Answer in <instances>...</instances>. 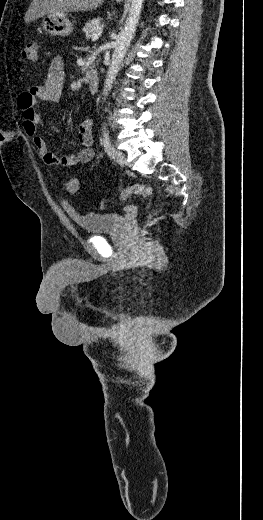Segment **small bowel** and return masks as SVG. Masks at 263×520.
Returning a JSON list of instances; mask_svg holds the SVG:
<instances>
[{
    "label": "small bowel",
    "instance_id": "c3829d8e",
    "mask_svg": "<svg viewBox=\"0 0 263 520\" xmlns=\"http://www.w3.org/2000/svg\"><path fill=\"white\" fill-rule=\"evenodd\" d=\"M64 78V62L61 57L57 56L52 60L43 82L19 95L18 107L23 116V129L28 136L32 137L33 144L43 162L48 165L70 168L77 164L88 163L94 158L93 121L85 119L80 123L78 140L82 149L76 154L59 157L49 150L46 141L38 135V128L43 125L41 114L38 111V102L58 103L63 91ZM51 129L55 128L51 127Z\"/></svg>",
    "mask_w": 263,
    "mask_h": 520
}]
</instances>
